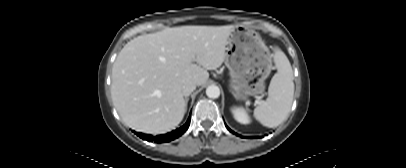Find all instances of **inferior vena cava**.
<instances>
[{"mask_svg": "<svg viewBox=\"0 0 406 168\" xmlns=\"http://www.w3.org/2000/svg\"><path fill=\"white\" fill-rule=\"evenodd\" d=\"M196 89V83L188 81L182 86V93L185 97L189 96Z\"/></svg>", "mask_w": 406, "mask_h": 168, "instance_id": "obj_1", "label": "inferior vena cava"}]
</instances>
